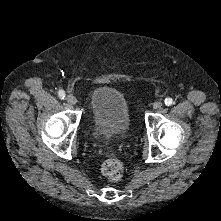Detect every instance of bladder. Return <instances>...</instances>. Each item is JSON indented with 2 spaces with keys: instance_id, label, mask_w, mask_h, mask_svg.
Wrapping results in <instances>:
<instances>
[{
  "instance_id": "bladder-1",
  "label": "bladder",
  "mask_w": 221,
  "mask_h": 221,
  "mask_svg": "<svg viewBox=\"0 0 221 221\" xmlns=\"http://www.w3.org/2000/svg\"><path fill=\"white\" fill-rule=\"evenodd\" d=\"M90 126L95 139L112 134H126L131 125L127 101L110 87H100L90 98Z\"/></svg>"
}]
</instances>
